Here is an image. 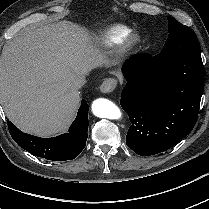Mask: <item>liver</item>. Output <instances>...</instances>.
<instances>
[{
  "instance_id": "1",
  "label": "liver",
  "mask_w": 209,
  "mask_h": 209,
  "mask_svg": "<svg viewBox=\"0 0 209 209\" xmlns=\"http://www.w3.org/2000/svg\"><path fill=\"white\" fill-rule=\"evenodd\" d=\"M108 65L88 31L70 21L29 26L8 41L0 58V103L21 130L66 132L80 103L76 77Z\"/></svg>"
}]
</instances>
